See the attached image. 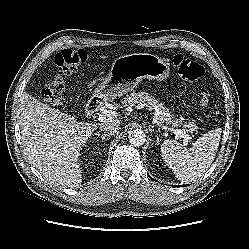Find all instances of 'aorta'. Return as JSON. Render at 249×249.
I'll use <instances>...</instances> for the list:
<instances>
[{
	"instance_id": "aorta-1",
	"label": "aorta",
	"mask_w": 249,
	"mask_h": 249,
	"mask_svg": "<svg viewBox=\"0 0 249 249\" xmlns=\"http://www.w3.org/2000/svg\"><path fill=\"white\" fill-rule=\"evenodd\" d=\"M128 139L131 145L141 146L146 141V134L140 129H134L130 131Z\"/></svg>"
}]
</instances>
